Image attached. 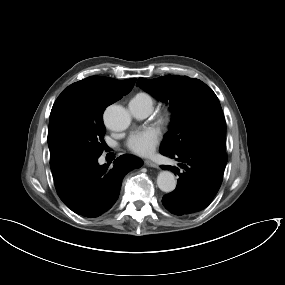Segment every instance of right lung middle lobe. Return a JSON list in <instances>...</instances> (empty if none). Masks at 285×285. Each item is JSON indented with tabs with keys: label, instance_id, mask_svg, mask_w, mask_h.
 I'll list each match as a JSON object with an SVG mask.
<instances>
[{
	"label": "right lung middle lobe",
	"instance_id": "right-lung-middle-lobe-1",
	"mask_svg": "<svg viewBox=\"0 0 285 285\" xmlns=\"http://www.w3.org/2000/svg\"><path fill=\"white\" fill-rule=\"evenodd\" d=\"M111 101L96 93L67 87L55 101L49 120L52 172L81 159L100 156L106 148L102 115Z\"/></svg>",
	"mask_w": 285,
	"mask_h": 285
}]
</instances>
